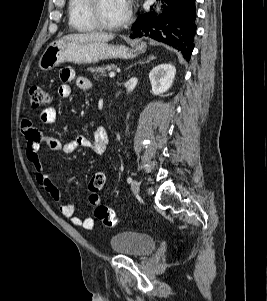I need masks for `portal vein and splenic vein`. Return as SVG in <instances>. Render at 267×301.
Here are the masks:
<instances>
[{"label": "portal vein and splenic vein", "mask_w": 267, "mask_h": 301, "mask_svg": "<svg viewBox=\"0 0 267 301\" xmlns=\"http://www.w3.org/2000/svg\"><path fill=\"white\" fill-rule=\"evenodd\" d=\"M115 75H116V73H115L114 71H110V73H109V77H110V78L115 77Z\"/></svg>", "instance_id": "1"}]
</instances>
